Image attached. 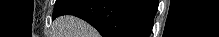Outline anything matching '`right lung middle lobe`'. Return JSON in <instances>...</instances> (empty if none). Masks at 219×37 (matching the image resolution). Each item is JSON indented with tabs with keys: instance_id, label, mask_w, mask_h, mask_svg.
<instances>
[{
	"instance_id": "dd1d6c3e",
	"label": "right lung middle lobe",
	"mask_w": 219,
	"mask_h": 37,
	"mask_svg": "<svg viewBox=\"0 0 219 37\" xmlns=\"http://www.w3.org/2000/svg\"><path fill=\"white\" fill-rule=\"evenodd\" d=\"M71 0H57L54 7L53 17H55L62 7L67 5Z\"/></svg>"
}]
</instances>
